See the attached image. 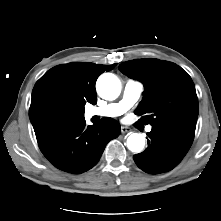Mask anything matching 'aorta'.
Returning <instances> with one entry per match:
<instances>
[{
    "instance_id": "1",
    "label": "aorta",
    "mask_w": 221,
    "mask_h": 221,
    "mask_svg": "<svg viewBox=\"0 0 221 221\" xmlns=\"http://www.w3.org/2000/svg\"><path fill=\"white\" fill-rule=\"evenodd\" d=\"M99 95L106 100L116 99L121 91L120 80L112 73L102 74L96 83ZM145 146V138L140 133H132L127 138V147L130 151L140 153Z\"/></svg>"
}]
</instances>
